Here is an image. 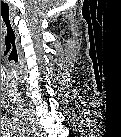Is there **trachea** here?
I'll use <instances>...</instances> for the list:
<instances>
[{
  "mask_svg": "<svg viewBox=\"0 0 121 137\" xmlns=\"http://www.w3.org/2000/svg\"><path fill=\"white\" fill-rule=\"evenodd\" d=\"M1 16L3 19V33L5 34V39L7 40L8 46L11 51L9 56V65L12 66L18 60V43L11 14L9 12V7H1Z\"/></svg>",
  "mask_w": 121,
  "mask_h": 137,
  "instance_id": "1",
  "label": "trachea"
}]
</instances>
